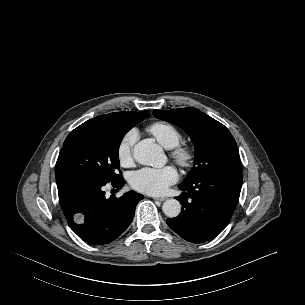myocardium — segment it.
<instances>
[{
    "label": "myocardium",
    "mask_w": 305,
    "mask_h": 305,
    "mask_svg": "<svg viewBox=\"0 0 305 305\" xmlns=\"http://www.w3.org/2000/svg\"><path fill=\"white\" fill-rule=\"evenodd\" d=\"M170 156L181 167H188L193 161L194 153L188 145L178 144L171 149Z\"/></svg>",
    "instance_id": "myocardium-1"
}]
</instances>
